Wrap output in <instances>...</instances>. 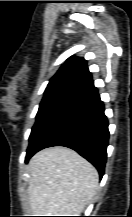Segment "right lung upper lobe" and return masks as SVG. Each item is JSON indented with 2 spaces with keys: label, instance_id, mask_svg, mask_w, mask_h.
Listing matches in <instances>:
<instances>
[{
  "label": "right lung upper lobe",
  "instance_id": "obj_1",
  "mask_svg": "<svg viewBox=\"0 0 132 217\" xmlns=\"http://www.w3.org/2000/svg\"><path fill=\"white\" fill-rule=\"evenodd\" d=\"M96 90L84 58L71 57L51 78L45 93L63 92L78 98Z\"/></svg>",
  "mask_w": 132,
  "mask_h": 217
}]
</instances>
